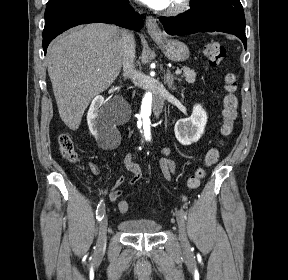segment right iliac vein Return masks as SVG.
I'll return each instance as SVG.
<instances>
[{
	"label": "right iliac vein",
	"mask_w": 288,
	"mask_h": 280,
	"mask_svg": "<svg viewBox=\"0 0 288 280\" xmlns=\"http://www.w3.org/2000/svg\"><path fill=\"white\" fill-rule=\"evenodd\" d=\"M107 227H108V218L105 215L99 225V235H98V240H97V254L102 253L106 247Z\"/></svg>",
	"instance_id": "63e3f726"
}]
</instances>
